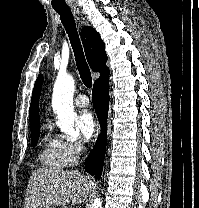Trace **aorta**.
Instances as JSON below:
<instances>
[{"mask_svg": "<svg viewBox=\"0 0 199 208\" xmlns=\"http://www.w3.org/2000/svg\"><path fill=\"white\" fill-rule=\"evenodd\" d=\"M75 82L70 75H60L57 77L53 88L52 107L57 114V126L61 132L75 136L78 131L74 129L76 113L73 108V94ZM91 208H102V199L96 197Z\"/></svg>", "mask_w": 199, "mask_h": 208, "instance_id": "aorta-1", "label": "aorta"}]
</instances>
